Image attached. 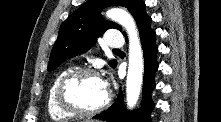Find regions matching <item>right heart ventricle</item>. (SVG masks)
<instances>
[{
  "instance_id": "obj_1",
  "label": "right heart ventricle",
  "mask_w": 221,
  "mask_h": 122,
  "mask_svg": "<svg viewBox=\"0 0 221 122\" xmlns=\"http://www.w3.org/2000/svg\"><path fill=\"white\" fill-rule=\"evenodd\" d=\"M69 71H70V69L68 68V69H64L61 72H59L56 75L55 79L53 80V82L50 86V89L48 91L47 110H48L50 117L54 120H57V121L69 119L74 116L73 114L62 110L59 107L57 100H56L57 85H58L59 81L61 80V78Z\"/></svg>"
}]
</instances>
